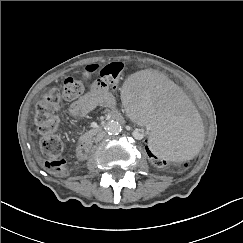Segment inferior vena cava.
Wrapping results in <instances>:
<instances>
[{"label": "inferior vena cava", "instance_id": "obj_1", "mask_svg": "<svg viewBox=\"0 0 243 243\" xmlns=\"http://www.w3.org/2000/svg\"><path fill=\"white\" fill-rule=\"evenodd\" d=\"M106 133L104 131L99 132L96 137L94 138L95 142L101 141L105 137Z\"/></svg>", "mask_w": 243, "mask_h": 243}]
</instances>
